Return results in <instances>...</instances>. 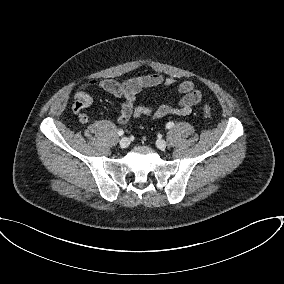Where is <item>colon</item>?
Wrapping results in <instances>:
<instances>
[{"label":"colon","mask_w":284,"mask_h":284,"mask_svg":"<svg viewBox=\"0 0 284 284\" xmlns=\"http://www.w3.org/2000/svg\"><path fill=\"white\" fill-rule=\"evenodd\" d=\"M203 113H204L205 117L211 118V116H212V111H211V108H210L209 105L205 104V105L203 106Z\"/></svg>","instance_id":"1"}]
</instances>
